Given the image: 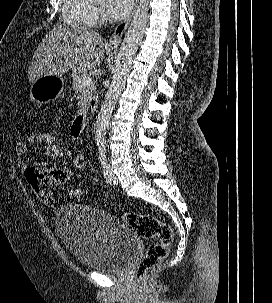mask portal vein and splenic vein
Segmentation results:
<instances>
[{
	"instance_id": "portal-vein-and-splenic-vein-1",
	"label": "portal vein and splenic vein",
	"mask_w": 272,
	"mask_h": 303,
	"mask_svg": "<svg viewBox=\"0 0 272 303\" xmlns=\"http://www.w3.org/2000/svg\"><path fill=\"white\" fill-rule=\"evenodd\" d=\"M81 81H82V85H84V86H88V85H92L93 84L92 77L87 76V75L84 76Z\"/></svg>"
}]
</instances>
